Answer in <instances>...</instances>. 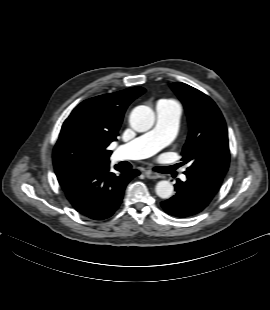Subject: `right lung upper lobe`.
Segmentation results:
<instances>
[{
	"instance_id": "cb5924a9",
	"label": "right lung upper lobe",
	"mask_w": 270,
	"mask_h": 310,
	"mask_svg": "<svg viewBox=\"0 0 270 310\" xmlns=\"http://www.w3.org/2000/svg\"><path fill=\"white\" fill-rule=\"evenodd\" d=\"M142 87L100 95L80 103L62 125L53 150L55 173L109 165V144L116 140L128 105Z\"/></svg>"
}]
</instances>
